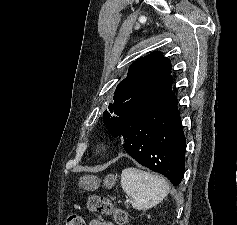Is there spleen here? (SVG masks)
Returning a JSON list of instances; mask_svg holds the SVG:
<instances>
[{
  "label": "spleen",
  "instance_id": "obj_1",
  "mask_svg": "<svg viewBox=\"0 0 237 225\" xmlns=\"http://www.w3.org/2000/svg\"><path fill=\"white\" fill-rule=\"evenodd\" d=\"M121 186L132 199V207L137 210H147L156 206L170 190L163 177L132 167L122 171Z\"/></svg>",
  "mask_w": 237,
  "mask_h": 225
}]
</instances>
